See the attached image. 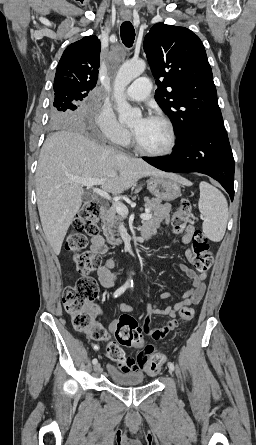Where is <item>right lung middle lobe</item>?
I'll return each mask as SVG.
<instances>
[{
  "instance_id": "obj_1",
  "label": "right lung middle lobe",
  "mask_w": 256,
  "mask_h": 445,
  "mask_svg": "<svg viewBox=\"0 0 256 445\" xmlns=\"http://www.w3.org/2000/svg\"><path fill=\"white\" fill-rule=\"evenodd\" d=\"M85 96L65 90L55 94L53 107L50 111V119L54 124H65L73 121V110L77 108V101Z\"/></svg>"
}]
</instances>
